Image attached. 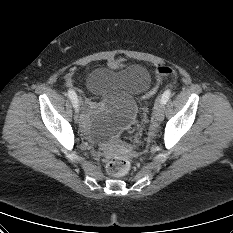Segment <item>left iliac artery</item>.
I'll use <instances>...</instances> for the list:
<instances>
[{
  "label": "left iliac artery",
  "instance_id": "left-iliac-artery-1",
  "mask_svg": "<svg viewBox=\"0 0 233 233\" xmlns=\"http://www.w3.org/2000/svg\"><path fill=\"white\" fill-rule=\"evenodd\" d=\"M171 95V91L168 89L166 90L163 94H162V98H161V101L163 104H166L167 101L169 100V97Z\"/></svg>",
  "mask_w": 233,
  "mask_h": 233
}]
</instances>
